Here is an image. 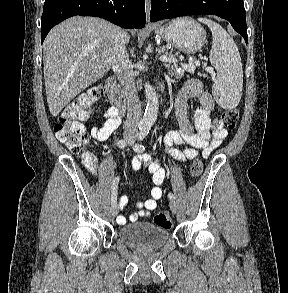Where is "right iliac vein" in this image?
Here are the masks:
<instances>
[{
  "label": "right iliac vein",
  "instance_id": "63e3f726",
  "mask_svg": "<svg viewBox=\"0 0 288 293\" xmlns=\"http://www.w3.org/2000/svg\"><path fill=\"white\" fill-rule=\"evenodd\" d=\"M119 213V208L117 206V204L113 205L111 208V214L113 217H116Z\"/></svg>",
  "mask_w": 288,
  "mask_h": 293
}]
</instances>
